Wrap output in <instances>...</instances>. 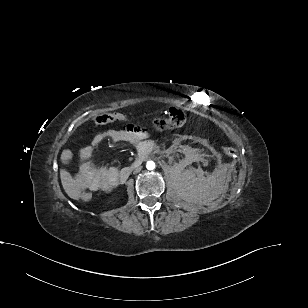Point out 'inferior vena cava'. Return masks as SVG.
<instances>
[{
  "mask_svg": "<svg viewBox=\"0 0 308 308\" xmlns=\"http://www.w3.org/2000/svg\"><path fill=\"white\" fill-rule=\"evenodd\" d=\"M140 170H141V168H140V167H138V168H136V169H135V171H134V172H135V173H138Z\"/></svg>",
  "mask_w": 308,
  "mask_h": 308,
  "instance_id": "602c4592",
  "label": "inferior vena cava"
}]
</instances>
